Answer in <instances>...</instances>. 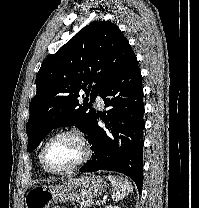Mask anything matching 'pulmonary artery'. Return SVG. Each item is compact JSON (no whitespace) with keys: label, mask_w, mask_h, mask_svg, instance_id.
I'll return each mask as SVG.
<instances>
[{"label":"pulmonary artery","mask_w":199,"mask_h":208,"mask_svg":"<svg viewBox=\"0 0 199 208\" xmlns=\"http://www.w3.org/2000/svg\"><path fill=\"white\" fill-rule=\"evenodd\" d=\"M95 102H96V104L98 105V107L100 109L104 108V100H103V97L101 95L97 94L95 96Z\"/></svg>","instance_id":"pulmonary-artery-1"}]
</instances>
